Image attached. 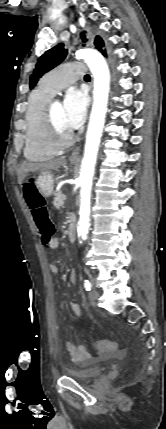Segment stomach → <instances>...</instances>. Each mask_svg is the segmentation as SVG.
<instances>
[{
  "label": "stomach",
  "mask_w": 166,
  "mask_h": 429,
  "mask_svg": "<svg viewBox=\"0 0 166 429\" xmlns=\"http://www.w3.org/2000/svg\"><path fill=\"white\" fill-rule=\"evenodd\" d=\"M55 179L52 173H40L35 180L36 189L41 190V196L49 197L54 191Z\"/></svg>",
  "instance_id": "obj_1"
}]
</instances>
